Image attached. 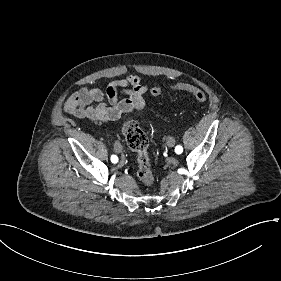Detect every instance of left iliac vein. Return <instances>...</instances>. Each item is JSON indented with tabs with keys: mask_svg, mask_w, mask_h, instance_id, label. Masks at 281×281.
Returning <instances> with one entry per match:
<instances>
[{
	"mask_svg": "<svg viewBox=\"0 0 281 281\" xmlns=\"http://www.w3.org/2000/svg\"><path fill=\"white\" fill-rule=\"evenodd\" d=\"M166 142L169 147H173L175 145V139L172 136H169Z\"/></svg>",
	"mask_w": 281,
	"mask_h": 281,
	"instance_id": "4c4485c4",
	"label": "left iliac vein"
}]
</instances>
